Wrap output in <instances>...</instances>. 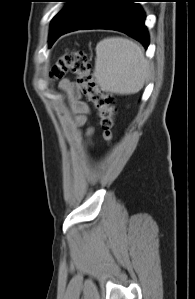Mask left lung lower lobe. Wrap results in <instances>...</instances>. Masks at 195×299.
<instances>
[{
  "mask_svg": "<svg viewBox=\"0 0 195 299\" xmlns=\"http://www.w3.org/2000/svg\"><path fill=\"white\" fill-rule=\"evenodd\" d=\"M140 0H88L78 16L49 39V46L62 34L80 29H112L126 33L140 41L145 48L149 36L145 14L135 2Z\"/></svg>",
  "mask_w": 195,
  "mask_h": 299,
  "instance_id": "left-lung-lower-lobe-1",
  "label": "left lung lower lobe"
}]
</instances>
